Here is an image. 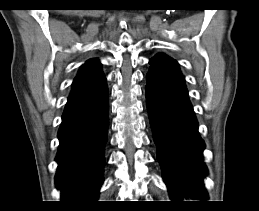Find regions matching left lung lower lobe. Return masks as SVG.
Masks as SVG:
<instances>
[{"mask_svg": "<svg viewBox=\"0 0 259 211\" xmlns=\"http://www.w3.org/2000/svg\"><path fill=\"white\" fill-rule=\"evenodd\" d=\"M146 104L158 161L171 198L207 199L203 179L204 141L185 85H175L147 76Z\"/></svg>", "mask_w": 259, "mask_h": 211, "instance_id": "0a47b994", "label": "left lung lower lobe"}]
</instances>
